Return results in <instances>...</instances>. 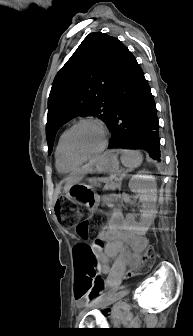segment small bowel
Masks as SVG:
<instances>
[{
	"label": "small bowel",
	"instance_id": "1",
	"mask_svg": "<svg viewBox=\"0 0 193 336\" xmlns=\"http://www.w3.org/2000/svg\"><path fill=\"white\" fill-rule=\"evenodd\" d=\"M98 240L105 242L104 248L102 249L96 241L90 246V250L98 268L107 274V282L109 284H116L119 279L121 266L128 262L132 267H135L139 263V258L135 254L131 255L118 261L112 268H109L107 265L109 259L117 257L124 250L127 242H132L136 250L141 249L144 246V240L134 234L126 220L118 213L113 215L109 226L101 231ZM92 285V281H87L84 284L85 293L89 296L93 295Z\"/></svg>",
	"mask_w": 193,
	"mask_h": 336
}]
</instances>
